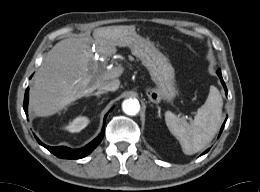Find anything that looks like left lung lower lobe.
Instances as JSON below:
<instances>
[{
    "instance_id": "obj_1",
    "label": "left lung lower lobe",
    "mask_w": 260,
    "mask_h": 192,
    "mask_svg": "<svg viewBox=\"0 0 260 192\" xmlns=\"http://www.w3.org/2000/svg\"><path fill=\"white\" fill-rule=\"evenodd\" d=\"M219 77H220L221 83H222V85H223L225 91L227 92V88H226V85H225V83H224V81H223L222 75H219ZM225 122H226V120H225ZM225 122H224L223 125H222L220 134H221V132H222V130H223V128H224ZM220 134H219V136H220ZM208 151H209V149L206 150L203 154L207 153Z\"/></svg>"
}]
</instances>
